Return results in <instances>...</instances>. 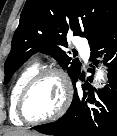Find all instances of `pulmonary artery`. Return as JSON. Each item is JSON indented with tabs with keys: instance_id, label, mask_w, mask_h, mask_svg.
I'll return each mask as SVG.
<instances>
[{
	"instance_id": "pulmonary-artery-1",
	"label": "pulmonary artery",
	"mask_w": 117,
	"mask_h": 136,
	"mask_svg": "<svg viewBox=\"0 0 117 136\" xmlns=\"http://www.w3.org/2000/svg\"><path fill=\"white\" fill-rule=\"evenodd\" d=\"M77 48H78L79 52L85 58H87L89 56V47L84 40H82V39L77 40Z\"/></svg>"
}]
</instances>
